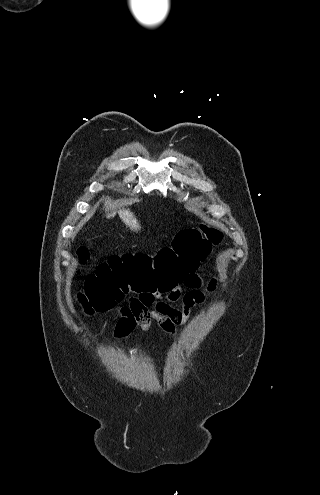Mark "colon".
<instances>
[{"instance_id":"5ec220e1","label":"colon","mask_w":320,"mask_h":495,"mask_svg":"<svg viewBox=\"0 0 320 495\" xmlns=\"http://www.w3.org/2000/svg\"><path fill=\"white\" fill-rule=\"evenodd\" d=\"M222 237L220 230L202 225L179 231L171 246L155 257L141 253L112 256L87 278L80 302L89 312H103L113 308L128 291H167L186 273L196 270ZM78 256L86 260L87 248L81 247Z\"/></svg>"}]
</instances>
